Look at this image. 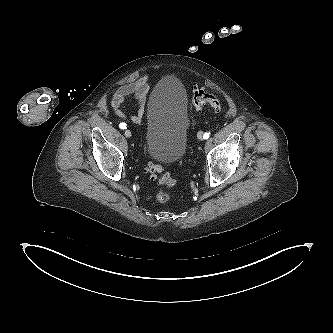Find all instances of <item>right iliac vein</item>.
Listing matches in <instances>:
<instances>
[{"mask_svg":"<svg viewBox=\"0 0 333 333\" xmlns=\"http://www.w3.org/2000/svg\"><path fill=\"white\" fill-rule=\"evenodd\" d=\"M124 134L127 138H130L132 135L130 130H126Z\"/></svg>","mask_w":333,"mask_h":333,"instance_id":"obj_1","label":"right iliac vein"}]
</instances>
